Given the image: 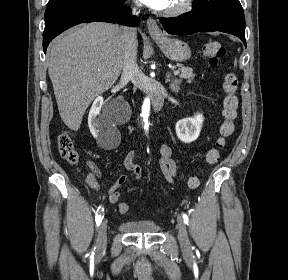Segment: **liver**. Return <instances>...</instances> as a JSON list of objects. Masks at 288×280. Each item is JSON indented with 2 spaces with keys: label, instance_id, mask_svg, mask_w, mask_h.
Instances as JSON below:
<instances>
[{
  "label": "liver",
  "instance_id": "1",
  "mask_svg": "<svg viewBox=\"0 0 288 280\" xmlns=\"http://www.w3.org/2000/svg\"><path fill=\"white\" fill-rule=\"evenodd\" d=\"M123 28L110 23L84 24L55 39L48 73L59 114L74 131L93 99L118 79L123 67Z\"/></svg>",
  "mask_w": 288,
  "mask_h": 280
}]
</instances>
